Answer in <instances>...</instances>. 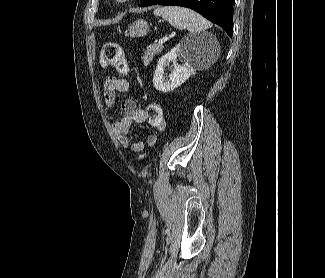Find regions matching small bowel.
Here are the masks:
<instances>
[{"instance_id":"obj_1","label":"small bowel","mask_w":325,"mask_h":278,"mask_svg":"<svg viewBox=\"0 0 325 278\" xmlns=\"http://www.w3.org/2000/svg\"><path fill=\"white\" fill-rule=\"evenodd\" d=\"M128 88L129 83L124 78H107L104 83V100L106 107L108 109L113 108L116 95L126 92ZM145 120L144 109L139 108L134 100L126 99L122 102L119 117L113 124L114 131L119 136L123 147H130L135 152H142L145 145L149 146V152L139 156L140 161L147 159L151 155L156 146V138L150 135L147 137L146 142L132 141L129 134L133 123H144Z\"/></svg>"}]
</instances>
